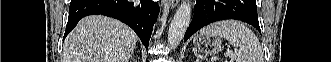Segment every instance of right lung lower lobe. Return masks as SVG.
<instances>
[{"instance_id": "right-lung-lower-lobe-1", "label": "right lung lower lobe", "mask_w": 331, "mask_h": 62, "mask_svg": "<svg viewBox=\"0 0 331 62\" xmlns=\"http://www.w3.org/2000/svg\"><path fill=\"white\" fill-rule=\"evenodd\" d=\"M158 13L159 6L152 0H71L64 38L83 17L101 14L130 26L147 49Z\"/></svg>"}]
</instances>
